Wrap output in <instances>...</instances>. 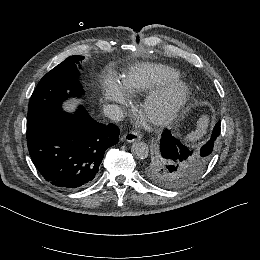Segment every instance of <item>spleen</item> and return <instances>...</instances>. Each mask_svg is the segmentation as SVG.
Listing matches in <instances>:
<instances>
[{
  "instance_id": "1",
  "label": "spleen",
  "mask_w": 260,
  "mask_h": 260,
  "mask_svg": "<svg viewBox=\"0 0 260 260\" xmlns=\"http://www.w3.org/2000/svg\"><path fill=\"white\" fill-rule=\"evenodd\" d=\"M207 117H203L198 121V129L196 131H192L190 134L187 135L186 140L187 141H194L202 136V134L205 132V129L207 127Z\"/></svg>"
}]
</instances>
